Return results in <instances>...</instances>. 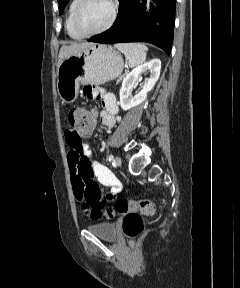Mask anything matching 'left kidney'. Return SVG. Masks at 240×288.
Segmentation results:
<instances>
[{
    "label": "left kidney",
    "mask_w": 240,
    "mask_h": 288,
    "mask_svg": "<svg viewBox=\"0 0 240 288\" xmlns=\"http://www.w3.org/2000/svg\"><path fill=\"white\" fill-rule=\"evenodd\" d=\"M161 70V61L152 59L151 61L134 68L122 82L120 89V106L124 111L136 107L147 99V93L151 91L156 84ZM149 73V78L143 82L142 90L134 97L131 94L132 87L141 81L142 74Z\"/></svg>",
    "instance_id": "5707ae66"
}]
</instances>
